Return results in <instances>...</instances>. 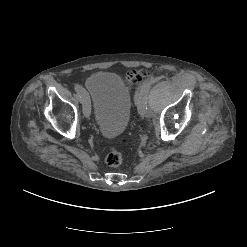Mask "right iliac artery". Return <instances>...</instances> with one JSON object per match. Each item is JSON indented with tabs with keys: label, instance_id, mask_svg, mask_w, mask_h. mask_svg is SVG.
Wrapping results in <instances>:
<instances>
[{
	"label": "right iliac artery",
	"instance_id": "obj_1",
	"mask_svg": "<svg viewBox=\"0 0 247 247\" xmlns=\"http://www.w3.org/2000/svg\"><path fill=\"white\" fill-rule=\"evenodd\" d=\"M74 89L78 94L79 100H83V99H86L88 97V93L86 91H84V89L80 85H75Z\"/></svg>",
	"mask_w": 247,
	"mask_h": 247
}]
</instances>
